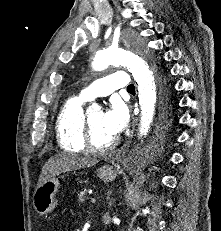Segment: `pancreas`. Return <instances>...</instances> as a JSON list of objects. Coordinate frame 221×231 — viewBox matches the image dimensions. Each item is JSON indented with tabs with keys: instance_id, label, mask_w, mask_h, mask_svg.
Returning <instances> with one entry per match:
<instances>
[{
	"instance_id": "obj_1",
	"label": "pancreas",
	"mask_w": 221,
	"mask_h": 231,
	"mask_svg": "<svg viewBox=\"0 0 221 231\" xmlns=\"http://www.w3.org/2000/svg\"><path fill=\"white\" fill-rule=\"evenodd\" d=\"M78 202L84 203L87 200L86 189L80 191L78 194Z\"/></svg>"
}]
</instances>
